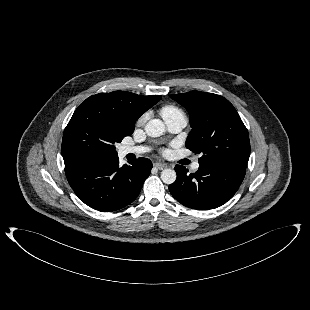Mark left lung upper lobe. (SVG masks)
<instances>
[{
    "label": "left lung upper lobe",
    "instance_id": "obj_1",
    "mask_svg": "<svg viewBox=\"0 0 310 310\" xmlns=\"http://www.w3.org/2000/svg\"><path fill=\"white\" fill-rule=\"evenodd\" d=\"M170 97L189 112L192 130L186 147L202 155L200 165L225 164L246 168L250 156L248 131L226 98L200 91Z\"/></svg>",
    "mask_w": 310,
    "mask_h": 310
}]
</instances>
